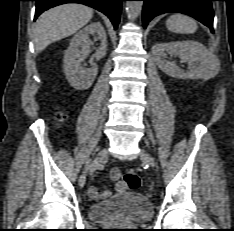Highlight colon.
Returning a JSON list of instances; mask_svg holds the SVG:
<instances>
[{
    "mask_svg": "<svg viewBox=\"0 0 234 231\" xmlns=\"http://www.w3.org/2000/svg\"><path fill=\"white\" fill-rule=\"evenodd\" d=\"M64 118H65V116L62 113H59L57 115V119L59 121L64 120ZM121 177L129 190L134 191V190H137L139 188L140 178L134 170L128 169L123 174H121V172L119 170L114 169L110 173V178L112 180H119Z\"/></svg>",
    "mask_w": 234,
    "mask_h": 231,
    "instance_id": "colon-1",
    "label": "colon"
}]
</instances>
